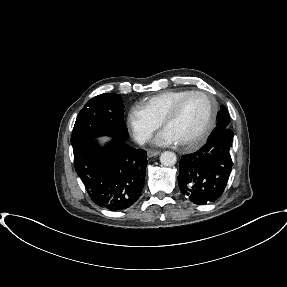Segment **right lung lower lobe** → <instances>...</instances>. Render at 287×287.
Wrapping results in <instances>:
<instances>
[{
	"label": "right lung lower lobe",
	"mask_w": 287,
	"mask_h": 287,
	"mask_svg": "<svg viewBox=\"0 0 287 287\" xmlns=\"http://www.w3.org/2000/svg\"><path fill=\"white\" fill-rule=\"evenodd\" d=\"M73 152L75 170L97 205L120 211L138 200L148 163L145 150L113 138L104 147L90 140Z\"/></svg>",
	"instance_id": "98d812e1"
}]
</instances>
